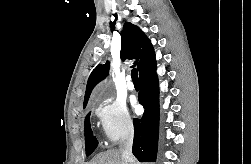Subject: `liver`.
<instances>
[{
	"mask_svg": "<svg viewBox=\"0 0 251 164\" xmlns=\"http://www.w3.org/2000/svg\"><path fill=\"white\" fill-rule=\"evenodd\" d=\"M87 164H125L122 158L121 150H108L96 155L91 162ZM136 164H138L136 162Z\"/></svg>",
	"mask_w": 251,
	"mask_h": 164,
	"instance_id": "obj_1",
	"label": "liver"
}]
</instances>
